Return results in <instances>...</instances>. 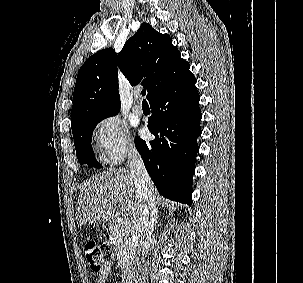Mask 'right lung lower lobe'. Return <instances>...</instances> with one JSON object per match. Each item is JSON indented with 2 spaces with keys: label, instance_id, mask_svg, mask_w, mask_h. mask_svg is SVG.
I'll use <instances>...</instances> for the list:
<instances>
[{
  "label": "right lung lower lobe",
  "instance_id": "obj_1",
  "mask_svg": "<svg viewBox=\"0 0 303 283\" xmlns=\"http://www.w3.org/2000/svg\"><path fill=\"white\" fill-rule=\"evenodd\" d=\"M196 79L189 73L182 81L153 97L148 128L155 139H135L148 174L159 193L191 205L192 177L201 135L200 96Z\"/></svg>",
  "mask_w": 303,
  "mask_h": 283
}]
</instances>
